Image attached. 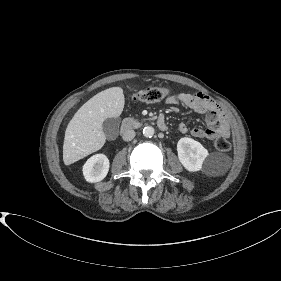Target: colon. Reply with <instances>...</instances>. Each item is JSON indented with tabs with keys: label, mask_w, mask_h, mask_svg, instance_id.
<instances>
[{
	"label": "colon",
	"mask_w": 281,
	"mask_h": 281,
	"mask_svg": "<svg viewBox=\"0 0 281 281\" xmlns=\"http://www.w3.org/2000/svg\"><path fill=\"white\" fill-rule=\"evenodd\" d=\"M166 94V91L159 87H149L136 92L133 99L140 102H157L160 101ZM214 147L218 151H228L230 143L226 138L220 137L214 141Z\"/></svg>",
	"instance_id": "obj_1"
}]
</instances>
